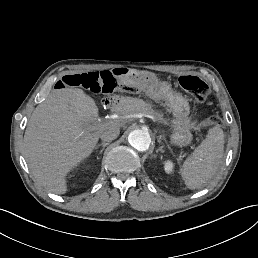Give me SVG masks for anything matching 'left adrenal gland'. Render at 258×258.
Returning <instances> with one entry per match:
<instances>
[{"label":"left adrenal gland","mask_w":258,"mask_h":258,"mask_svg":"<svg viewBox=\"0 0 258 258\" xmlns=\"http://www.w3.org/2000/svg\"><path fill=\"white\" fill-rule=\"evenodd\" d=\"M163 148H164V145L157 147L156 152H158V151L164 152Z\"/></svg>","instance_id":"left-adrenal-gland-1"}]
</instances>
